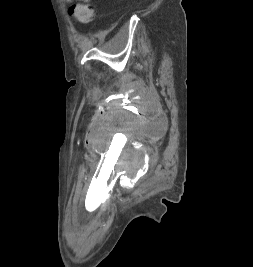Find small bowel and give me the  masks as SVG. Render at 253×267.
I'll list each match as a JSON object with an SVG mask.
<instances>
[{
  "instance_id": "small-bowel-1",
  "label": "small bowel",
  "mask_w": 253,
  "mask_h": 267,
  "mask_svg": "<svg viewBox=\"0 0 253 267\" xmlns=\"http://www.w3.org/2000/svg\"><path fill=\"white\" fill-rule=\"evenodd\" d=\"M66 2H71L72 0H65Z\"/></svg>"
}]
</instances>
